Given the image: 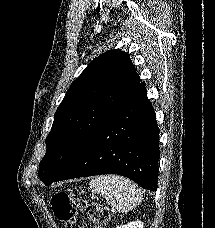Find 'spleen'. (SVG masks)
I'll return each instance as SVG.
<instances>
[{
	"label": "spleen",
	"mask_w": 215,
	"mask_h": 228,
	"mask_svg": "<svg viewBox=\"0 0 215 228\" xmlns=\"http://www.w3.org/2000/svg\"><path fill=\"white\" fill-rule=\"evenodd\" d=\"M89 188L111 200L119 212H129L142 202L140 188L123 176H94Z\"/></svg>",
	"instance_id": "3e777b00"
}]
</instances>
